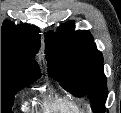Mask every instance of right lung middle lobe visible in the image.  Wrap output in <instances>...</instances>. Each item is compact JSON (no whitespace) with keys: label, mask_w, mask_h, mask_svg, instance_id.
<instances>
[{"label":"right lung middle lobe","mask_w":121,"mask_h":113,"mask_svg":"<svg viewBox=\"0 0 121 113\" xmlns=\"http://www.w3.org/2000/svg\"><path fill=\"white\" fill-rule=\"evenodd\" d=\"M37 79L16 68L1 64V113H12L14 95Z\"/></svg>","instance_id":"1"}]
</instances>
